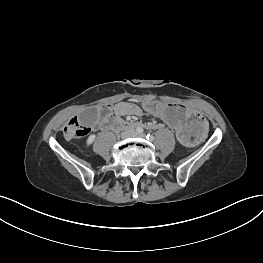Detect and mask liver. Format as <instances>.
<instances>
[{"instance_id": "obj_1", "label": "liver", "mask_w": 263, "mask_h": 263, "mask_svg": "<svg viewBox=\"0 0 263 263\" xmlns=\"http://www.w3.org/2000/svg\"><path fill=\"white\" fill-rule=\"evenodd\" d=\"M67 141H70L74 137V129H69L67 134H64Z\"/></svg>"}]
</instances>
